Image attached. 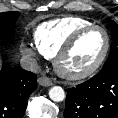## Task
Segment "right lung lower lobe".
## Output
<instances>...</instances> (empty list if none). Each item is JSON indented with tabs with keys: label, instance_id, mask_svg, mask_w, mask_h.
<instances>
[{
	"label": "right lung lower lobe",
	"instance_id": "1",
	"mask_svg": "<svg viewBox=\"0 0 118 118\" xmlns=\"http://www.w3.org/2000/svg\"><path fill=\"white\" fill-rule=\"evenodd\" d=\"M36 88V74L4 63L0 71V118H23L28 98Z\"/></svg>",
	"mask_w": 118,
	"mask_h": 118
}]
</instances>
